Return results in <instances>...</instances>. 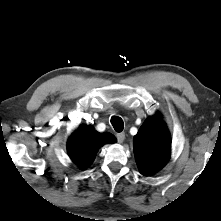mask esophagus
I'll use <instances>...</instances> for the list:
<instances>
[{
	"label": "esophagus",
	"mask_w": 221,
	"mask_h": 221,
	"mask_svg": "<svg viewBox=\"0 0 221 221\" xmlns=\"http://www.w3.org/2000/svg\"><path fill=\"white\" fill-rule=\"evenodd\" d=\"M116 137H117V141L119 142V143H123L124 142V140H125V133H118L117 135H116Z\"/></svg>",
	"instance_id": "esophagus-1"
}]
</instances>
